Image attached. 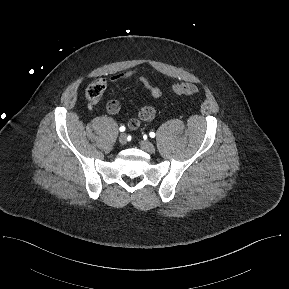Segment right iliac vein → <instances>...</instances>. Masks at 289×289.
<instances>
[{
  "mask_svg": "<svg viewBox=\"0 0 289 289\" xmlns=\"http://www.w3.org/2000/svg\"><path fill=\"white\" fill-rule=\"evenodd\" d=\"M118 141L121 145H124L126 144L127 142V135L125 133H122L119 138H118Z\"/></svg>",
  "mask_w": 289,
  "mask_h": 289,
  "instance_id": "right-iliac-vein-1",
  "label": "right iliac vein"
}]
</instances>
